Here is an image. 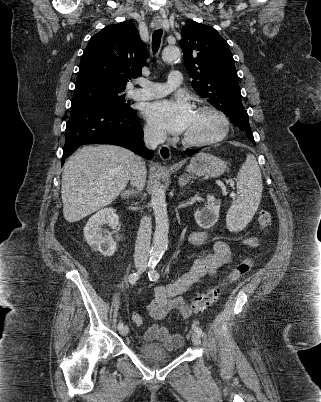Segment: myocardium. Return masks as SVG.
<instances>
[{
	"instance_id": "myocardium-1",
	"label": "myocardium",
	"mask_w": 321,
	"mask_h": 402,
	"mask_svg": "<svg viewBox=\"0 0 321 402\" xmlns=\"http://www.w3.org/2000/svg\"><path fill=\"white\" fill-rule=\"evenodd\" d=\"M195 111H209L213 114H215L221 122V129L218 132V134H216L215 136L208 138V139H195L192 137H189L187 135H183V142L188 145V146H193V147H204V146H209V145H213L216 144L220 141H222L229 133L230 130V120L228 118V116L219 108L212 106V105H208V104H204V105H200L197 106L195 108Z\"/></svg>"
}]
</instances>
